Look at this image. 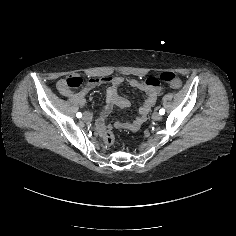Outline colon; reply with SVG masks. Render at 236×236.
<instances>
[{
	"instance_id": "5ec220e1",
	"label": "colon",
	"mask_w": 236,
	"mask_h": 236,
	"mask_svg": "<svg viewBox=\"0 0 236 236\" xmlns=\"http://www.w3.org/2000/svg\"><path fill=\"white\" fill-rule=\"evenodd\" d=\"M159 79L169 84L172 88H180L182 86L181 79L173 72H163L160 74ZM154 82L155 79H150ZM83 79L77 75H71L64 80V86L67 89L78 88L82 85ZM104 143L107 147H111L114 143V135L112 132L107 131L104 135Z\"/></svg>"
}]
</instances>
